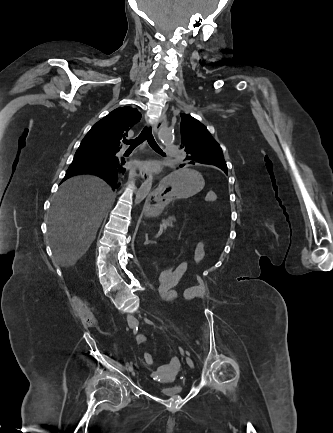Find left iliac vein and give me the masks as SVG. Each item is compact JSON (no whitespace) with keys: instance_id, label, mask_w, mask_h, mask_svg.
<instances>
[{"instance_id":"1","label":"left iliac vein","mask_w":333,"mask_h":433,"mask_svg":"<svg viewBox=\"0 0 333 433\" xmlns=\"http://www.w3.org/2000/svg\"><path fill=\"white\" fill-rule=\"evenodd\" d=\"M186 362L191 368H194V363L189 357H186Z\"/></svg>"}]
</instances>
